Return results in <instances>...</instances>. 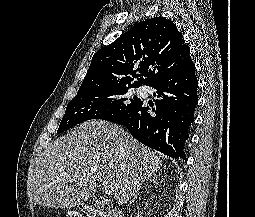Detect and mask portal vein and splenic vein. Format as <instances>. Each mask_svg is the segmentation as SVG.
Returning a JSON list of instances; mask_svg holds the SVG:
<instances>
[{"label": "portal vein and splenic vein", "instance_id": "obj_1", "mask_svg": "<svg viewBox=\"0 0 255 217\" xmlns=\"http://www.w3.org/2000/svg\"><path fill=\"white\" fill-rule=\"evenodd\" d=\"M102 188L107 195H111L114 192V187L105 180L102 182Z\"/></svg>", "mask_w": 255, "mask_h": 217}]
</instances>
